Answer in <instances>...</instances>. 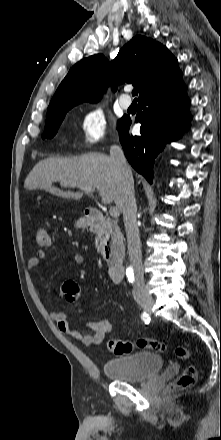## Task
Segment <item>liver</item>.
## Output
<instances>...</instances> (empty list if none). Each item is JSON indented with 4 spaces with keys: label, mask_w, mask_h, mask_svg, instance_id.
Wrapping results in <instances>:
<instances>
[{
    "label": "liver",
    "mask_w": 221,
    "mask_h": 440,
    "mask_svg": "<svg viewBox=\"0 0 221 440\" xmlns=\"http://www.w3.org/2000/svg\"><path fill=\"white\" fill-rule=\"evenodd\" d=\"M58 181L63 186H90L97 189L102 203L115 202L118 210L120 204V180L114 164L108 155L88 153L76 158L51 157L37 163L27 176L24 188L26 190H45L49 193L79 200L83 194L79 192L62 191L52 186Z\"/></svg>",
    "instance_id": "6515ba94"
}]
</instances>
